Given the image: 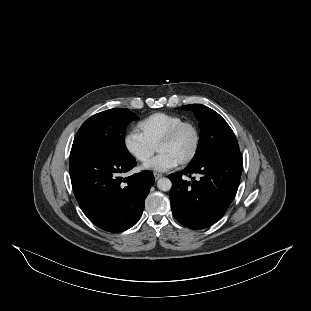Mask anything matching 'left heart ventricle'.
<instances>
[{
  "label": "left heart ventricle",
  "mask_w": 311,
  "mask_h": 311,
  "mask_svg": "<svg viewBox=\"0 0 311 311\" xmlns=\"http://www.w3.org/2000/svg\"><path fill=\"white\" fill-rule=\"evenodd\" d=\"M195 144L196 131L192 125H189L182 130L174 142L161 145L157 150L159 153H169L182 162L193 152Z\"/></svg>",
  "instance_id": "b2bd125f"
}]
</instances>
